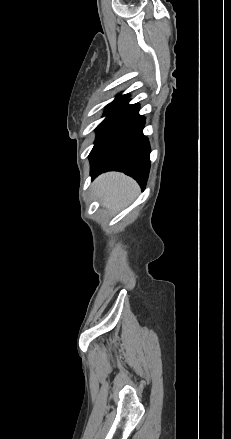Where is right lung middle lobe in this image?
Returning <instances> with one entry per match:
<instances>
[{
	"mask_svg": "<svg viewBox=\"0 0 231 439\" xmlns=\"http://www.w3.org/2000/svg\"><path fill=\"white\" fill-rule=\"evenodd\" d=\"M128 102L129 99L127 98H119L108 105V109L105 112L107 117L96 128L97 136L93 149L112 132L139 116V105H129Z\"/></svg>",
	"mask_w": 231,
	"mask_h": 439,
	"instance_id": "right-lung-middle-lobe-1",
	"label": "right lung middle lobe"
}]
</instances>
